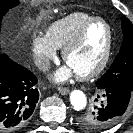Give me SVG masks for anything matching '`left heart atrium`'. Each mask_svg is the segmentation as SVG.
<instances>
[{"mask_svg": "<svg viewBox=\"0 0 133 133\" xmlns=\"http://www.w3.org/2000/svg\"><path fill=\"white\" fill-rule=\"evenodd\" d=\"M74 71L71 69L70 66H63L58 69L52 76L55 82L61 83L68 80L70 77L74 75Z\"/></svg>", "mask_w": 133, "mask_h": 133, "instance_id": "obj_1", "label": "left heart atrium"}]
</instances>
